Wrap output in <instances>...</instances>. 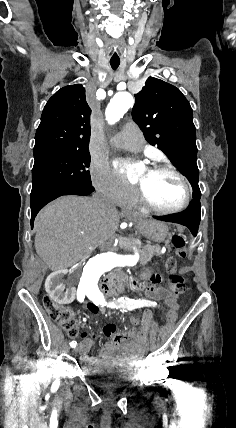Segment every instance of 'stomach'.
Instances as JSON below:
<instances>
[{"instance_id":"0dacf381","label":"stomach","mask_w":236,"mask_h":428,"mask_svg":"<svg viewBox=\"0 0 236 428\" xmlns=\"http://www.w3.org/2000/svg\"><path fill=\"white\" fill-rule=\"evenodd\" d=\"M142 232L148 240H153V242H163L168 234V228L164 222L149 220V222H145ZM148 267L151 268L152 266L149 265ZM142 275L144 276L145 274L143 273ZM145 279L147 280L148 278L146 277Z\"/></svg>"}]
</instances>
